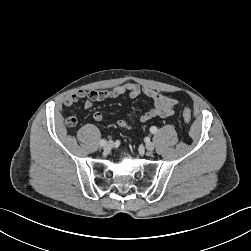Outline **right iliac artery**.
Masks as SVG:
<instances>
[{"mask_svg":"<svg viewBox=\"0 0 251 251\" xmlns=\"http://www.w3.org/2000/svg\"><path fill=\"white\" fill-rule=\"evenodd\" d=\"M106 143H107V141H106L105 139H102V140L99 142V144H100L101 147L105 146Z\"/></svg>","mask_w":251,"mask_h":251,"instance_id":"82829eb1","label":"right iliac artery"}]
</instances>
